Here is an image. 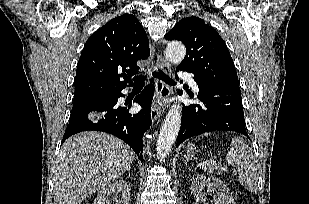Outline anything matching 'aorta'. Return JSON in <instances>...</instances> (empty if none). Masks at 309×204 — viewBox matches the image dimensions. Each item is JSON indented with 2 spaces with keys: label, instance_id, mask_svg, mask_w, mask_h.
I'll return each instance as SVG.
<instances>
[{
  "label": "aorta",
  "instance_id": "762f6f07",
  "mask_svg": "<svg viewBox=\"0 0 309 204\" xmlns=\"http://www.w3.org/2000/svg\"><path fill=\"white\" fill-rule=\"evenodd\" d=\"M186 55L185 46L177 41L170 42L165 49L167 60L173 64L182 62ZM181 125V106L180 104L171 105L164 120L156 143L158 157L164 159L171 150Z\"/></svg>",
  "mask_w": 309,
  "mask_h": 204
}]
</instances>
